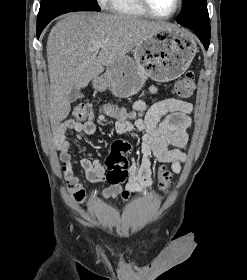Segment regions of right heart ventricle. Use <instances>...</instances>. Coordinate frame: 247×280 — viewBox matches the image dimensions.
Here are the masks:
<instances>
[{
  "label": "right heart ventricle",
  "instance_id": "e07e8e85",
  "mask_svg": "<svg viewBox=\"0 0 247 280\" xmlns=\"http://www.w3.org/2000/svg\"><path fill=\"white\" fill-rule=\"evenodd\" d=\"M111 12L133 17H146L148 14L141 7L139 0H107Z\"/></svg>",
  "mask_w": 247,
  "mask_h": 280
}]
</instances>
